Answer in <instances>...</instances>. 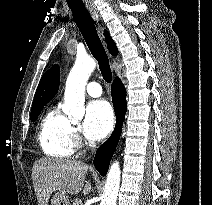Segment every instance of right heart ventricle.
Masks as SVG:
<instances>
[{"label": "right heart ventricle", "instance_id": "1", "mask_svg": "<svg viewBox=\"0 0 212 205\" xmlns=\"http://www.w3.org/2000/svg\"><path fill=\"white\" fill-rule=\"evenodd\" d=\"M38 140L45 155L56 159L69 158L75 149L73 126L67 116L56 108L43 116Z\"/></svg>", "mask_w": 212, "mask_h": 205}]
</instances>
